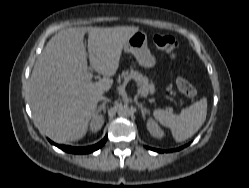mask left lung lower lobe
<instances>
[{
    "label": "left lung lower lobe",
    "mask_w": 249,
    "mask_h": 188,
    "mask_svg": "<svg viewBox=\"0 0 249 188\" xmlns=\"http://www.w3.org/2000/svg\"><path fill=\"white\" fill-rule=\"evenodd\" d=\"M183 147H180V148H178V149H176V150H180V149H182ZM152 150H154V151H156V152H159V153H161V152H163L162 150H158V149H152Z\"/></svg>",
    "instance_id": "obj_1"
}]
</instances>
